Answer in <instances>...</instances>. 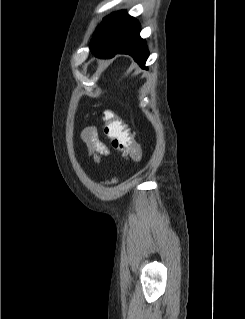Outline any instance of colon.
<instances>
[{
  "instance_id": "obj_1",
  "label": "colon",
  "mask_w": 245,
  "mask_h": 319,
  "mask_svg": "<svg viewBox=\"0 0 245 319\" xmlns=\"http://www.w3.org/2000/svg\"><path fill=\"white\" fill-rule=\"evenodd\" d=\"M102 120L103 134L111 141L112 147L124 153L128 159H140L141 147L135 141L134 134L129 126L110 111L103 113Z\"/></svg>"
}]
</instances>
